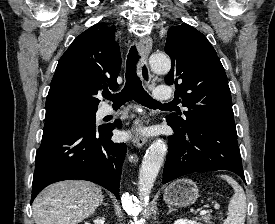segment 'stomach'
<instances>
[{
  "label": "stomach",
  "instance_id": "stomach-1",
  "mask_svg": "<svg viewBox=\"0 0 275 224\" xmlns=\"http://www.w3.org/2000/svg\"><path fill=\"white\" fill-rule=\"evenodd\" d=\"M199 191L195 182L182 178L173 181L164 190V201L175 207H187L195 203Z\"/></svg>",
  "mask_w": 275,
  "mask_h": 224
}]
</instances>
